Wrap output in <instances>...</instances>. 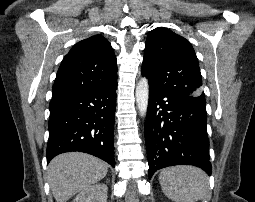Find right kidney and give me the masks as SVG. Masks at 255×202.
Segmentation results:
<instances>
[{"label": "right kidney", "mask_w": 255, "mask_h": 202, "mask_svg": "<svg viewBox=\"0 0 255 202\" xmlns=\"http://www.w3.org/2000/svg\"><path fill=\"white\" fill-rule=\"evenodd\" d=\"M107 191V185L103 183L94 184L84 188L73 202H107Z\"/></svg>", "instance_id": "ca27d5eb"}]
</instances>
